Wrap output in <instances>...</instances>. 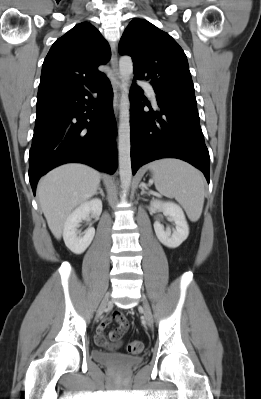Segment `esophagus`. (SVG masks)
I'll use <instances>...</instances> for the list:
<instances>
[{
  "label": "esophagus",
  "mask_w": 261,
  "mask_h": 399,
  "mask_svg": "<svg viewBox=\"0 0 261 399\" xmlns=\"http://www.w3.org/2000/svg\"><path fill=\"white\" fill-rule=\"evenodd\" d=\"M111 50H112V55H111L112 72L110 75V80L115 89L114 106L115 109L118 110L120 106L121 80L118 69V56H117V48L115 42L111 43Z\"/></svg>",
  "instance_id": "esophagus-1"
}]
</instances>
